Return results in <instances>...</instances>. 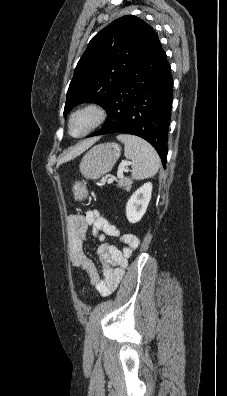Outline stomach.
<instances>
[{"label":"stomach","instance_id":"1","mask_svg":"<svg viewBox=\"0 0 227 396\" xmlns=\"http://www.w3.org/2000/svg\"><path fill=\"white\" fill-rule=\"evenodd\" d=\"M121 155V148L115 143L99 144L90 149L81 160L79 169L86 179H98L110 172ZM75 199L88 195L86 186L80 181L73 185Z\"/></svg>","mask_w":227,"mask_h":396}]
</instances>
